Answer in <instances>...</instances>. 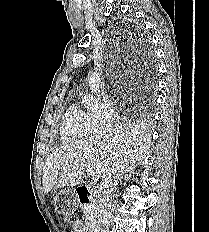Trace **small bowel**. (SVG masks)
Returning <instances> with one entry per match:
<instances>
[{
    "mask_svg": "<svg viewBox=\"0 0 209 232\" xmlns=\"http://www.w3.org/2000/svg\"><path fill=\"white\" fill-rule=\"evenodd\" d=\"M72 232H85L84 224L80 220L73 221L72 222Z\"/></svg>",
    "mask_w": 209,
    "mask_h": 232,
    "instance_id": "obj_1",
    "label": "small bowel"
}]
</instances>
